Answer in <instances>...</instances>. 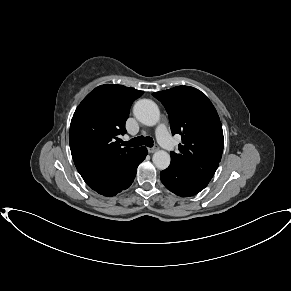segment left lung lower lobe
Instances as JSON below:
<instances>
[{"label":"left lung lower lobe","instance_id":"0a47b994","mask_svg":"<svg viewBox=\"0 0 291 291\" xmlns=\"http://www.w3.org/2000/svg\"><path fill=\"white\" fill-rule=\"evenodd\" d=\"M160 178L164 186L178 196H193L202 191L209 181L197 178L179 167L170 164V166L160 173Z\"/></svg>","mask_w":291,"mask_h":291}]
</instances>
